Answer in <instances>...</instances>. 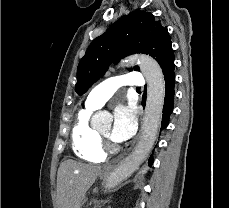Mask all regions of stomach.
I'll return each mask as SVG.
<instances>
[{
  "mask_svg": "<svg viewBox=\"0 0 229 208\" xmlns=\"http://www.w3.org/2000/svg\"><path fill=\"white\" fill-rule=\"evenodd\" d=\"M108 176H109V172H101L100 174L101 180H105V178H108Z\"/></svg>",
  "mask_w": 229,
  "mask_h": 208,
  "instance_id": "obj_1",
  "label": "stomach"
}]
</instances>
